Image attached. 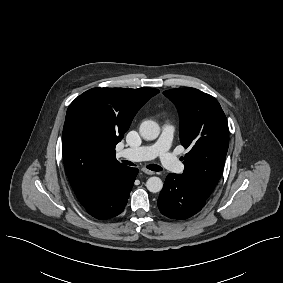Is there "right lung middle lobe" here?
I'll list each match as a JSON object with an SVG mask.
<instances>
[{"label":"right lung middle lobe","instance_id":"dd1d6c3e","mask_svg":"<svg viewBox=\"0 0 283 283\" xmlns=\"http://www.w3.org/2000/svg\"><path fill=\"white\" fill-rule=\"evenodd\" d=\"M74 117L78 125L85 129H90L93 126V119L89 116L86 109L82 107H76L74 110Z\"/></svg>","mask_w":283,"mask_h":283}]
</instances>
